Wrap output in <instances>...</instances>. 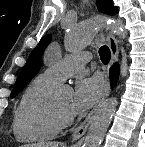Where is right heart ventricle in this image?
<instances>
[{"mask_svg": "<svg viewBox=\"0 0 145 147\" xmlns=\"http://www.w3.org/2000/svg\"><path fill=\"white\" fill-rule=\"evenodd\" d=\"M57 82L44 73L36 76L24 90L14 114L15 136L26 142L46 141L62 129L52 108V92Z\"/></svg>", "mask_w": 145, "mask_h": 147, "instance_id": "e07e8e85", "label": "right heart ventricle"}]
</instances>
